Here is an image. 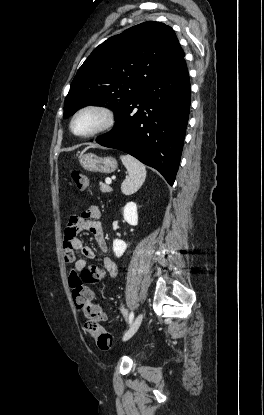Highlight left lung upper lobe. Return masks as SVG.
<instances>
[{"mask_svg":"<svg viewBox=\"0 0 264 415\" xmlns=\"http://www.w3.org/2000/svg\"><path fill=\"white\" fill-rule=\"evenodd\" d=\"M184 56L173 29L160 22L147 21L107 39L77 71L63 117L91 103L113 107L118 116L143 88Z\"/></svg>","mask_w":264,"mask_h":415,"instance_id":"obj_1","label":"left lung upper lobe"}]
</instances>
